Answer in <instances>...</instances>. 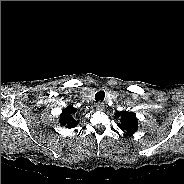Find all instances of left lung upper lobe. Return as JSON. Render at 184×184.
<instances>
[{"instance_id": "5c2ea615", "label": "left lung upper lobe", "mask_w": 184, "mask_h": 184, "mask_svg": "<svg viewBox=\"0 0 184 184\" xmlns=\"http://www.w3.org/2000/svg\"><path fill=\"white\" fill-rule=\"evenodd\" d=\"M115 117L120 119L117 125L126 131V134L132 135L137 131L138 121L135 113L129 111L116 112Z\"/></svg>"}]
</instances>
